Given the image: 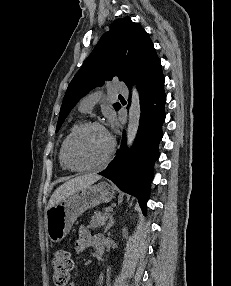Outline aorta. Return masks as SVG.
<instances>
[{"label":"aorta","mask_w":231,"mask_h":286,"mask_svg":"<svg viewBox=\"0 0 231 286\" xmlns=\"http://www.w3.org/2000/svg\"><path fill=\"white\" fill-rule=\"evenodd\" d=\"M141 108L139 94L135 86L132 89L131 105L128 113L127 125V147L130 148L136 138L139 122H140Z\"/></svg>","instance_id":"obj_1"}]
</instances>
